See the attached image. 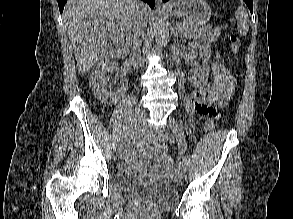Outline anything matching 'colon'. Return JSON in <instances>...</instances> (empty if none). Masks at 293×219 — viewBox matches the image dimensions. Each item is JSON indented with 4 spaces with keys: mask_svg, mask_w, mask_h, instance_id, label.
Returning a JSON list of instances; mask_svg holds the SVG:
<instances>
[{
    "mask_svg": "<svg viewBox=\"0 0 293 219\" xmlns=\"http://www.w3.org/2000/svg\"><path fill=\"white\" fill-rule=\"evenodd\" d=\"M242 47V40L236 35H230V52L237 54ZM198 111L202 114H209L210 110L204 106L200 107ZM205 129L211 131L213 129V121L209 116V119L205 122ZM151 143L161 152H165L168 147L173 143V137L165 131L151 133L149 136Z\"/></svg>",
    "mask_w": 293,
    "mask_h": 219,
    "instance_id": "5ec220e1",
    "label": "colon"
}]
</instances>
